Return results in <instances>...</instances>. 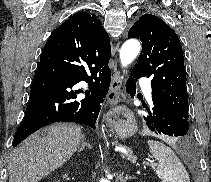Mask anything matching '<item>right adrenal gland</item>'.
I'll return each instance as SVG.
<instances>
[{"label": "right adrenal gland", "mask_w": 211, "mask_h": 182, "mask_svg": "<svg viewBox=\"0 0 211 182\" xmlns=\"http://www.w3.org/2000/svg\"><path fill=\"white\" fill-rule=\"evenodd\" d=\"M85 147H88L90 149V144L87 143L85 140H83L81 143V147H79V149H78V152L80 153L81 151H83L85 149Z\"/></svg>", "instance_id": "right-adrenal-gland-1"}]
</instances>
